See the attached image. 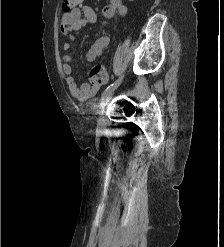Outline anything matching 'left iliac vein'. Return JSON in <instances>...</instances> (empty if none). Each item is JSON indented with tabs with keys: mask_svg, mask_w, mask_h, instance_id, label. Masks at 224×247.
Segmentation results:
<instances>
[{
	"mask_svg": "<svg viewBox=\"0 0 224 247\" xmlns=\"http://www.w3.org/2000/svg\"><path fill=\"white\" fill-rule=\"evenodd\" d=\"M115 89H116V87L103 93L102 99H101V108H102L101 114L104 112V107L111 100V98H112V96L114 94ZM103 127H104V120H103L102 116H100L98 118V128L99 129H102Z\"/></svg>",
	"mask_w": 224,
	"mask_h": 247,
	"instance_id": "obj_1",
	"label": "left iliac vein"
}]
</instances>
